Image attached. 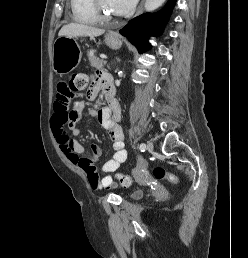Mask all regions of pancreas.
Masks as SVG:
<instances>
[{
    "instance_id": "pancreas-1",
    "label": "pancreas",
    "mask_w": 248,
    "mask_h": 258,
    "mask_svg": "<svg viewBox=\"0 0 248 258\" xmlns=\"http://www.w3.org/2000/svg\"><path fill=\"white\" fill-rule=\"evenodd\" d=\"M94 52H95V51L92 50V49L88 51L87 56H88V59H89V61H90V64H91L92 67L102 69V68H103V65L106 64V62L103 61V60H101V59H99V58H97V57L94 55Z\"/></svg>"
}]
</instances>
